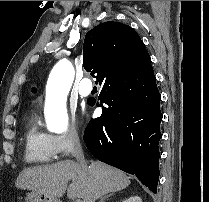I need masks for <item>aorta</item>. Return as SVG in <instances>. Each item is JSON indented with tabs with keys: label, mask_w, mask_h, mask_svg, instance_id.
<instances>
[{
	"label": "aorta",
	"mask_w": 209,
	"mask_h": 202,
	"mask_svg": "<svg viewBox=\"0 0 209 202\" xmlns=\"http://www.w3.org/2000/svg\"><path fill=\"white\" fill-rule=\"evenodd\" d=\"M74 80V69L67 59H62L50 72L45 96V121L50 132L63 133L68 129L66 98Z\"/></svg>",
	"instance_id": "aorta-1"
}]
</instances>
